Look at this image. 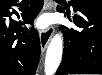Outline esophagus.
I'll list each match as a JSON object with an SVG mask.
<instances>
[{
  "instance_id": "1",
  "label": "esophagus",
  "mask_w": 102,
  "mask_h": 75,
  "mask_svg": "<svg viewBox=\"0 0 102 75\" xmlns=\"http://www.w3.org/2000/svg\"><path fill=\"white\" fill-rule=\"evenodd\" d=\"M52 9V3L51 1L45 0L43 10H50ZM53 34V29H45V30H40L39 32V38H40V45H41V50L45 51L49 41L51 40Z\"/></svg>"
}]
</instances>
